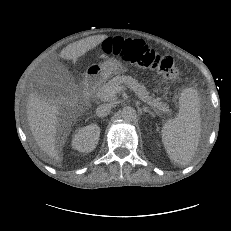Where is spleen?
I'll return each instance as SVG.
<instances>
[{
	"mask_svg": "<svg viewBox=\"0 0 231 231\" xmlns=\"http://www.w3.org/2000/svg\"><path fill=\"white\" fill-rule=\"evenodd\" d=\"M199 98L192 88L179 98V113L162 127V142L174 164L186 165L193 159L201 136Z\"/></svg>",
	"mask_w": 231,
	"mask_h": 231,
	"instance_id": "1",
	"label": "spleen"
}]
</instances>
